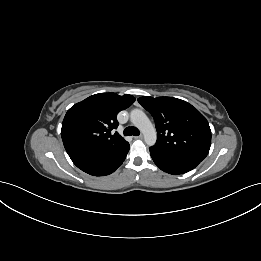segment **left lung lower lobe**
<instances>
[{
    "mask_svg": "<svg viewBox=\"0 0 261 261\" xmlns=\"http://www.w3.org/2000/svg\"><path fill=\"white\" fill-rule=\"evenodd\" d=\"M154 163L169 174H183L194 169L201 161L152 146L149 148Z\"/></svg>",
    "mask_w": 261,
    "mask_h": 261,
    "instance_id": "obj_1",
    "label": "left lung lower lobe"
}]
</instances>
